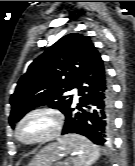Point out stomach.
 I'll return each mask as SVG.
<instances>
[{
    "mask_svg": "<svg viewBox=\"0 0 135 166\" xmlns=\"http://www.w3.org/2000/svg\"><path fill=\"white\" fill-rule=\"evenodd\" d=\"M70 152V148L60 141L50 143L35 155L28 166H53L54 163L57 164L59 160L66 157ZM66 166L71 165L66 163Z\"/></svg>",
    "mask_w": 135,
    "mask_h": 166,
    "instance_id": "0dacf381",
    "label": "stomach"
}]
</instances>
